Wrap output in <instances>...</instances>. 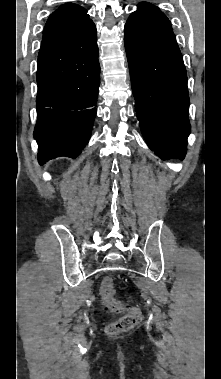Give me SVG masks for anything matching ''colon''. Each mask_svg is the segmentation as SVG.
<instances>
[{
	"instance_id": "1",
	"label": "colon",
	"mask_w": 221,
	"mask_h": 379,
	"mask_svg": "<svg viewBox=\"0 0 221 379\" xmlns=\"http://www.w3.org/2000/svg\"><path fill=\"white\" fill-rule=\"evenodd\" d=\"M100 297L105 309L112 314L124 313L116 321L109 324L107 331L111 335L120 334L133 329L141 319V312L137 307L125 308L124 304L116 297L113 281L106 277L100 288Z\"/></svg>"
}]
</instances>
